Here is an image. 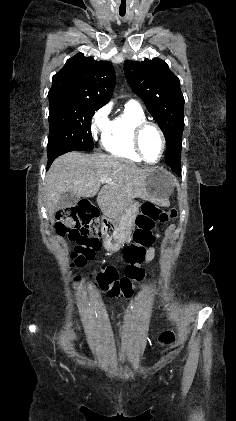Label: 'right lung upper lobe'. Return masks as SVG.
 I'll list each match as a JSON object with an SVG mask.
<instances>
[{
    "mask_svg": "<svg viewBox=\"0 0 236 421\" xmlns=\"http://www.w3.org/2000/svg\"><path fill=\"white\" fill-rule=\"evenodd\" d=\"M114 85V68L109 61H96L78 53L53 76L48 96L85 99L105 105Z\"/></svg>",
    "mask_w": 236,
    "mask_h": 421,
    "instance_id": "right-lung-upper-lobe-1",
    "label": "right lung upper lobe"
}]
</instances>
